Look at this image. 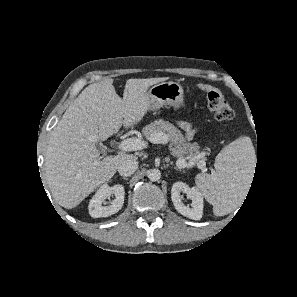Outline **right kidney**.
<instances>
[{
	"label": "right kidney",
	"instance_id": "ca27d5eb",
	"mask_svg": "<svg viewBox=\"0 0 297 297\" xmlns=\"http://www.w3.org/2000/svg\"><path fill=\"white\" fill-rule=\"evenodd\" d=\"M115 195L116 198L112 201L111 205L105 206V199ZM124 187L120 184L109 186L103 184L89 202V214L93 218L108 217L118 212L124 203Z\"/></svg>",
	"mask_w": 297,
	"mask_h": 297
}]
</instances>
